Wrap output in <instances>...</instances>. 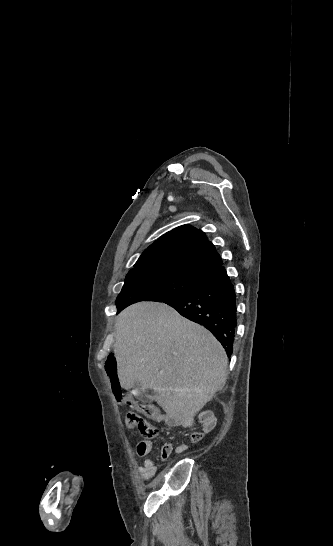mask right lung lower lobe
Masks as SVG:
<instances>
[{"label":"right lung lower lobe","mask_w":333,"mask_h":546,"mask_svg":"<svg viewBox=\"0 0 333 546\" xmlns=\"http://www.w3.org/2000/svg\"><path fill=\"white\" fill-rule=\"evenodd\" d=\"M163 302L210 330L230 357L237 328V307L235 289L224 266L203 277L191 291Z\"/></svg>","instance_id":"right-lung-lower-lobe-1"}]
</instances>
